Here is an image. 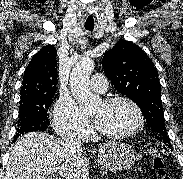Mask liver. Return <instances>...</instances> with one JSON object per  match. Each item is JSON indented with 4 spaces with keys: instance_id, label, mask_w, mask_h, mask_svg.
<instances>
[{
    "instance_id": "1",
    "label": "liver",
    "mask_w": 183,
    "mask_h": 179,
    "mask_svg": "<svg viewBox=\"0 0 183 179\" xmlns=\"http://www.w3.org/2000/svg\"><path fill=\"white\" fill-rule=\"evenodd\" d=\"M89 179V163L81 150L70 151L46 132L18 138L10 151L3 179Z\"/></svg>"
}]
</instances>
